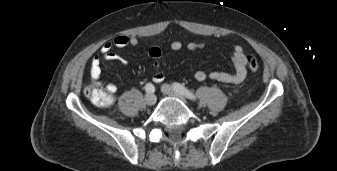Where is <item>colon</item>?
Instances as JSON below:
<instances>
[{
    "instance_id": "obj_1",
    "label": "colon",
    "mask_w": 337,
    "mask_h": 171,
    "mask_svg": "<svg viewBox=\"0 0 337 171\" xmlns=\"http://www.w3.org/2000/svg\"><path fill=\"white\" fill-rule=\"evenodd\" d=\"M247 66L249 70L252 72L258 70L259 63L254 55L247 56ZM86 94L88 99L98 107H108L114 101V98L111 93H109L107 90H104L102 87L97 85L90 87L87 90Z\"/></svg>"
}]
</instances>
